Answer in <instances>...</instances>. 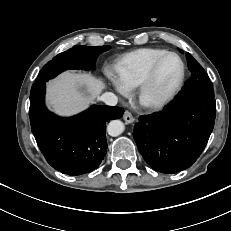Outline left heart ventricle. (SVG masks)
<instances>
[{"label":"left heart ventricle","mask_w":231,"mask_h":231,"mask_svg":"<svg viewBox=\"0 0 231 231\" xmlns=\"http://www.w3.org/2000/svg\"><path fill=\"white\" fill-rule=\"evenodd\" d=\"M181 63L175 56L166 58L160 65L155 78L147 92V98L155 99L168 92L178 81Z\"/></svg>","instance_id":"1"}]
</instances>
